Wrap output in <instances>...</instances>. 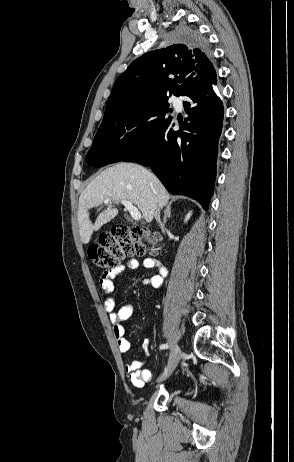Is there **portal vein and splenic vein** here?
<instances>
[{
	"mask_svg": "<svg viewBox=\"0 0 294 462\" xmlns=\"http://www.w3.org/2000/svg\"><path fill=\"white\" fill-rule=\"evenodd\" d=\"M110 201L111 199L107 198L104 200V203L107 204ZM121 203L124 205L125 209L130 213L133 220L139 221L141 219L140 211L130 201L122 200Z\"/></svg>",
	"mask_w": 294,
	"mask_h": 462,
	"instance_id": "obj_1",
	"label": "portal vein and splenic vein"
}]
</instances>
